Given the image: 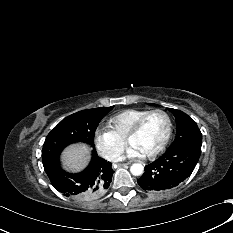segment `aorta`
<instances>
[{"label":"aorta","mask_w":233,"mask_h":233,"mask_svg":"<svg viewBox=\"0 0 233 233\" xmlns=\"http://www.w3.org/2000/svg\"><path fill=\"white\" fill-rule=\"evenodd\" d=\"M144 167L140 163H135L130 167V172L134 176H139L143 173Z\"/></svg>","instance_id":"762f6f07"}]
</instances>
